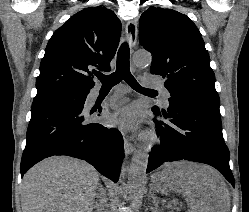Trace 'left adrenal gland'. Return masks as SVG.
<instances>
[{"mask_svg": "<svg viewBox=\"0 0 249 212\" xmlns=\"http://www.w3.org/2000/svg\"><path fill=\"white\" fill-rule=\"evenodd\" d=\"M148 200H151V202H152V194H151V192H149V194H148ZM153 206H155V204H153Z\"/></svg>", "mask_w": 249, "mask_h": 212, "instance_id": "1", "label": "left adrenal gland"}]
</instances>
